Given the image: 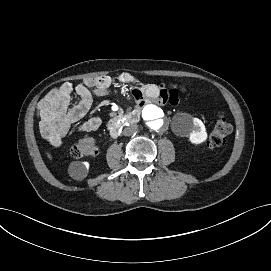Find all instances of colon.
<instances>
[{"instance_id":"5ec220e1","label":"colon","mask_w":271,"mask_h":271,"mask_svg":"<svg viewBox=\"0 0 271 271\" xmlns=\"http://www.w3.org/2000/svg\"><path fill=\"white\" fill-rule=\"evenodd\" d=\"M168 90L174 94H181L184 89L176 84H170ZM233 130L232 122L224 115L220 114L212 128L208 138L210 147H218L225 143L226 138ZM70 153L72 157L80 159L88 156H96L98 147L95 138L91 135H85L71 145Z\"/></svg>"}]
</instances>
